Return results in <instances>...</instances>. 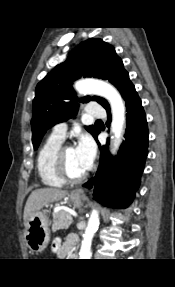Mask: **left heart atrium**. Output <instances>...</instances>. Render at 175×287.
I'll return each mask as SVG.
<instances>
[{
	"instance_id": "left-heart-atrium-1",
	"label": "left heart atrium",
	"mask_w": 175,
	"mask_h": 287,
	"mask_svg": "<svg viewBox=\"0 0 175 287\" xmlns=\"http://www.w3.org/2000/svg\"><path fill=\"white\" fill-rule=\"evenodd\" d=\"M75 149L85 168L89 169L96 156V146L92 138L88 135L81 136Z\"/></svg>"
}]
</instances>
